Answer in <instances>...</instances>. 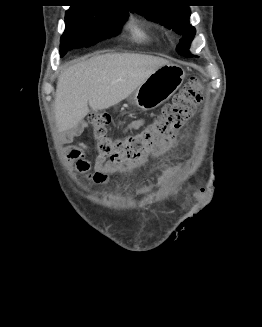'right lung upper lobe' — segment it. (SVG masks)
<instances>
[{
	"mask_svg": "<svg viewBox=\"0 0 262 327\" xmlns=\"http://www.w3.org/2000/svg\"><path fill=\"white\" fill-rule=\"evenodd\" d=\"M74 1L79 4L73 5L71 7L89 6V7H95V8H105V9H113V10L128 12V9L126 6L112 4V3H115L114 0H74Z\"/></svg>",
	"mask_w": 262,
	"mask_h": 327,
	"instance_id": "obj_1",
	"label": "right lung upper lobe"
}]
</instances>
